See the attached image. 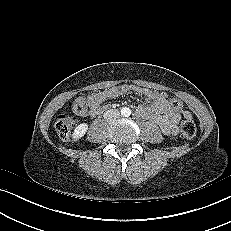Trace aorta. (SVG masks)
<instances>
[{
  "label": "aorta",
  "mask_w": 231,
  "mask_h": 231,
  "mask_svg": "<svg viewBox=\"0 0 231 231\" xmlns=\"http://www.w3.org/2000/svg\"><path fill=\"white\" fill-rule=\"evenodd\" d=\"M121 114L125 117H128L131 114V110L127 107H124L121 109Z\"/></svg>",
  "instance_id": "obj_1"
}]
</instances>
